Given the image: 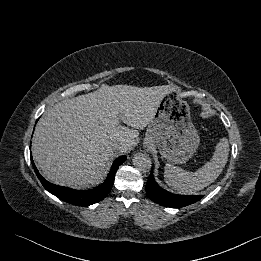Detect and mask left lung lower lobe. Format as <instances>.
I'll use <instances>...</instances> for the list:
<instances>
[{
    "label": "left lung lower lobe",
    "mask_w": 261,
    "mask_h": 261,
    "mask_svg": "<svg viewBox=\"0 0 261 261\" xmlns=\"http://www.w3.org/2000/svg\"><path fill=\"white\" fill-rule=\"evenodd\" d=\"M146 193L155 203L171 208L190 205L203 197L202 195H175L167 192L155 182L152 171L146 183Z\"/></svg>",
    "instance_id": "obj_1"
}]
</instances>
